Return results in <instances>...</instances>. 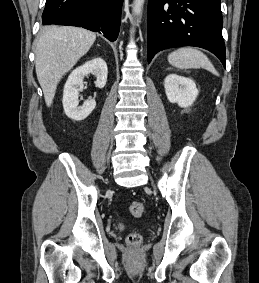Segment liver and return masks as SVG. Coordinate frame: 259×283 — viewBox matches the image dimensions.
Returning <instances> with one entry per match:
<instances>
[{
  "label": "liver",
  "mask_w": 259,
  "mask_h": 283,
  "mask_svg": "<svg viewBox=\"0 0 259 283\" xmlns=\"http://www.w3.org/2000/svg\"><path fill=\"white\" fill-rule=\"evenodd\" d=\"M96 40V34L79 27L48 26L35 48V68L46 105L51 106L57 85Z\"/></svg>",
  "instance_id": "liver-1"
}]
</instances>
